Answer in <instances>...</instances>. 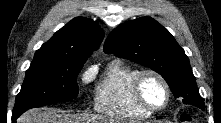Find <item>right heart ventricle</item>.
<instances>
[{
    "mask_svg": "<svg viewBox=\"0 0 221 123\" xmlns=\"http://www.w3.org/2000/svg\"><path fill=\"white\" fill-rule=\"evenodd\" d=\"M139 70L122 61L110 62L94 89V109L116 119H146L151 113L142 109L132 94V81Z\"/></svg>",
    "mask_w": 221,
    "mask_h": 123,
    "instance_id": "1",
    "label": "right heart ventricle"
}]
</instances>
